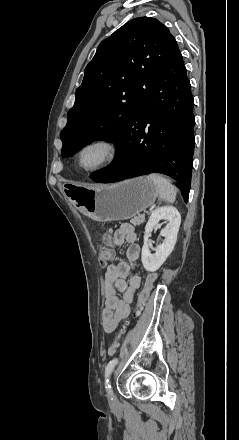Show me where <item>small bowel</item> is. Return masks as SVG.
I'll return each mask as SVG.
<instances>
[{
  "mask_svg": "<svg viewBox=\"0 0 239 440\" xmlns=\"http://www.w3.org/2000/svg\"><path fill=\"white\" fill-rule=\"evenodd\" d=\"M136 240L135 229L131 224H122L115 230L113 235L114 246L117 247L127 243L128 247L126 251L127 260L116 265H108L105 271V306L102 310V325L106 333L115 331L120 321L128 317L134 293L142 284L141 277L138 275H132L127 280L140 256V247ZM113 258L114 251L110 260Z\"/></svg>",
  "mask_w": 239,
  "mask_h": 440,
  "instance_id": "1",
  "label": "small bowel"
}]
</instances>
